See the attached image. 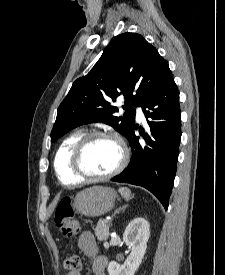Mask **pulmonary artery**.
Wrapping results in <instances>:
<instances>
[{"label":"pulmonary artery","mask_w":225,"mask_h":275,"mask_svg":"<svg viewBox=\"0 0 225 275\" xmlns=\"http://www.w3.org/2000/svg\"><path fill=\"white\" fill-rule=\"evenodd\" d=\"M136 110H137V118H138L139 120H143L144 114H143V111H142L141 107H137Z\"/></svg>","instance_id":"pulmonary-artery-1"}]
</instances>
